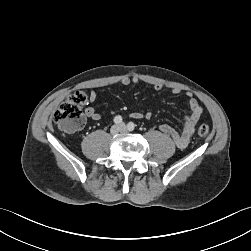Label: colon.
I'll return each instance as SVG.
<instances>
[{
  "label": "colon",
  "mask_w": 251,
  "mask_h": 251,
  "mask_svg": "<svg viewBox=\"0 0 251 251\" xmlns=\"http://www.w3.org/2000/svg\"><path fill=\"white\" fill-rule=\"evenodd\" d=\"M86 102L87 95L82 91L69 95L55 112V122L69 132L81 129L85 124L82 108ZM198 134L202 138H207L210 135L209 127L206 124L200 125Z\"/></svg>",
  "instance_id": "5ec220e1"
}]
</instances>
